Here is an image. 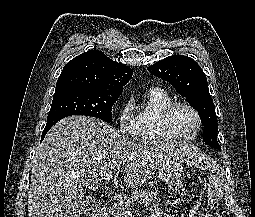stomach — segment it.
Wrapping results in <instances>:
<instances>
[{
    "label": "stomach",
    "mask_w": 255,
    "mask_h": 217,
    "mask_svg": "<svg viewBox=\"0 0 255 217\" xmlns=\"http://www.w3.org/2000/svg\"><path fill=\"white\" fill-rule=\"evenodd\" d=\"M185 159L179 155L169 156L158 169V177L164 182H173L182 174V164Z\"/></svg>",
    "instance_id": "stomach-1"
}]
</instances>
